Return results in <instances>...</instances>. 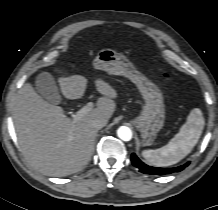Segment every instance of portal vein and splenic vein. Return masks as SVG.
Instances as JSON below:
<instances>
[{
	"label": "portal vein and splenic vein",
	"instance_id": "obj_1",
	"mask_svg": "<svg viewBox=\"0 0 218 210\" xmlns=\"http://www.w3.org/2000/svg\"><path fill=\"white\" fill-rule=\"evenodd\" d=\"M93 103L89 102L84 107H82L80 110H78L74 115L73 118L75 120L80 119L81 117L85 116L87 113H89L92 110Z\"/></svg>",
	"mask_w": 218,
	"mask_h": 210
}]
</instances>
